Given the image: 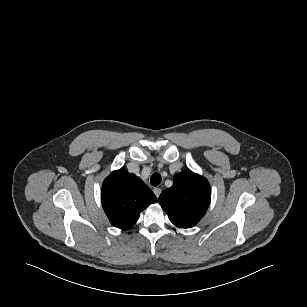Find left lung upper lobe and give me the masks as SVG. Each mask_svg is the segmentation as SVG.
I'll list each match as a JSON object with an SVG mask.
<instances>
[{
	"mask_svg": "<svg viewBox=\"0 0 307 307\" xmlns=\"http://www.w3.org/2000/svg\"><path fill=\"white\" fill-rule=\"evenodd\" d=\"M210 199L208 181L190 170H184L174 176L172 187L161 193L159 204L174 225L191 228L204 216Z\"/></svg>",
	"mask_w": 307,
	"mask_h": 307,
	"instance_id": "obj_1",
	"label": "left lung upper lobe"
}]
</instances>
